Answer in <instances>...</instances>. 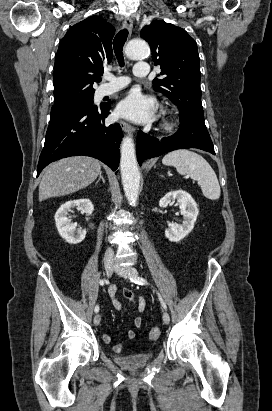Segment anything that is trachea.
<instances>
[{
    "label": "trachea",
    "instance_id": "1",
    "mask_svg": "<svg viewBox=\"0 0 272 411\" xmlns=\"http://www.w3.org/2000/svg\"><path fill=\"white\" fill-rule=\"evenodd\" d=\"M127 37L128 30L123 29L117 33L113 41L114 52L121 67L124 66L123 46L127 40Z\"/></svg>",
    "mask_w": 272,
    "mask_h": 411
}]
</instances>
